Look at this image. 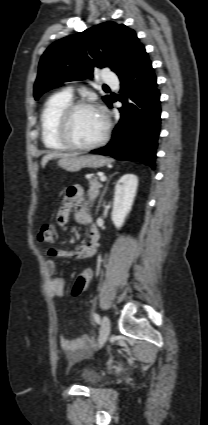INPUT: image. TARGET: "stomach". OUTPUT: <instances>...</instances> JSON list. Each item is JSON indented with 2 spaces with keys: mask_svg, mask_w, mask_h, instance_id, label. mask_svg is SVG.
<instances>
[{
  "mask_svg": "<svg viewBox=\"0 0 208 425\" xmlns=\"http://www.w3.org/2000/svg\"><path fill=\"white\" fill-rule=\"evenodd\" d=\"M110 163L106 157L99 155H83L61 158L59 166L68 172H78L83 168L98 169Z\"/></svg>",
  "mask_w": 208,
  "mask_h": 425,
  "instance_id": "obj_1",
  "label": "stomach"
}]
</instances>
